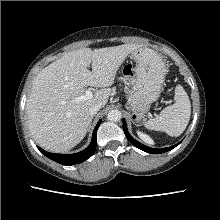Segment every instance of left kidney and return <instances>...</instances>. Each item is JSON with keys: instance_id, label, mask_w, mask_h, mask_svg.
Segmentation results:
<instances>
[{"instance_id": "5707ae66", "label": "left kidney", "mask_w": 220, "mask_h": 220, "mask_svg": "<svg viewBox=\"0 0 220 220\" xmlns=\"http://www.w3.org/2000/svg\"><path fill=\"white\" fill-rule=\"evenodd\" d=\"M137 134H138L139 138L142 139L144 142H146L148 144H153V140L147 134H145L141 131H137Z\"/></svg>"}]
</instances>
